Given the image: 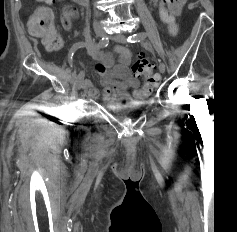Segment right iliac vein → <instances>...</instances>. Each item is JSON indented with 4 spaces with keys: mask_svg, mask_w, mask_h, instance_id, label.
<instances>
[{
    "mask_svg": "<svg viewBox=\"0 0 237 232\" xmlns=\"http://www.w3.org/2000/svg\"><path fill=\"white\" fill-rule=\"evenodd\" d=\"M95 34L98 37H103L105 35L104 29L102 27H96L95 28ZM76 82H77L78 89H82L83 88V84H84V72H80L77 75Z\"/></svg>",
    "mask_w": 237,
    "mask_h": 232,
    "instance_id": "1",
    "label": "right iliac vein"
}]
</instances>
